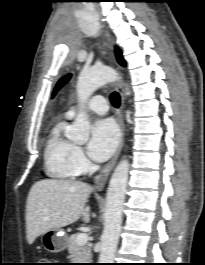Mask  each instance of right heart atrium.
<instances>
[{
    "instance_id": "right-heart-atrium-1",
    "label": "right heart atrium",
    "mask_w": 205,
    "mask_h": 265,
    "mask_svg": "<svg viewBox=\"0 0 205 265\" xmlns=\"http://www.w3.org/2000/svg\"><path fill=\"white\" fill-rule=\"evenodd\" d=\"M74 164L78 172H83L88 166V161L82 149L77 146L74 151Z\"/></svg>"
}]
</instances>
